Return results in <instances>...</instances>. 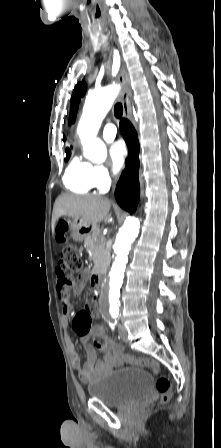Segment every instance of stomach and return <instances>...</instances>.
I'll return each instance as SVG.
<instances>
[{
    "mask_svg": "<svg viewBox=\"0 0 221 448\" xmlns=\"http://www.w3.org/2000/svg\"><path fill=\"white\" fill-rule=\"evenodd\" d=\"M70 228L72 230L73 239L80 242L94 232L95 225L86 224L82 219H74L70 222Z\"/></svg>",
    "mask_w": 221,
    "mask_h": 448,
    "instance_id": "obj_1",
    "label": "stomach"
}]
</instances>
